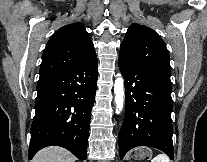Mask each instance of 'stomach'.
<instances>
[{
  "label": "stomach",
  "mask_w": 207,
  "mask_h": 162,
  "mask_svg": "<svg viewBox=\"0 0 207 162\" xmlns=\"http://www.w3.org/2000/svg\"><path fill=\"white\" fill-rule=\"evenodd\" d=\"M151 156V150L148 148H139L134 152L136 159H144Z\"/></svg>",
  "instance_id": "obj_1"
}]
</instances>
